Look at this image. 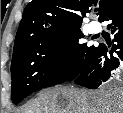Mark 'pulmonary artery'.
Masks as SVG:
<instances>
[{
  "instance_id": "pulmonary-artery-1",
  "label": "pulmonary artery",
  "mask_w": 123,
  "mask_h": 113,
  "mask_svg": "<svg viewBox=\"0 0 123 113\" xmlns=\"http://www.w3.org/2000/svg\"><path fill=\"white\" fill-rule=\"evenodd\" d=\"M89 28L93 33H97L100 31L101 26L98 22L93 21L90 23Z\"/></svg>"
}]
</instances>
